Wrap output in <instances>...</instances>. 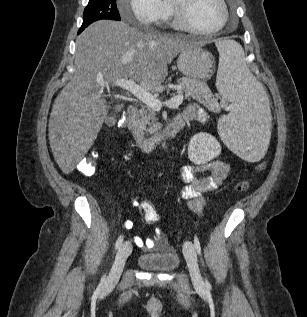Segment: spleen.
<instances>
[{"mask_svg":"<svg viewBox=\"0 0 307 317\" xmlns=\"http://www.w3.org/2000/svg\"><path fill=\"white\" fill-rule=\"evenodd\" d=\"M219 51L216 86L224 98L232 101L233 111L218 123L221 139L240 160H261L267 155L271 139L272 106L266 86L250 73L242 47L236 40H213Z\"/></svg>","mask_w":307,"mask_h":317,"instance_id":"3e777b00","label":"spleen"}]
</instances>
